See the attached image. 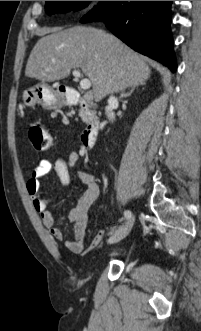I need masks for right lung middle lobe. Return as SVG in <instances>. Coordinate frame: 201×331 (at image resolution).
<instances>
[{"label":"right lung middle lobe","mask_w":201,"mask_h":331,"mask_svg":"<svg viewBox=\"0 0 201 331\" xmlns=\"http://www.w3.org/2000/svg\"><path fill=\"white\" fill-rule=\"evenodd\" d=\"M90 1H46L45 11L47 14L66 12L71 9L80 10L86 7Z\"/></svg>","instance_id":"dd1d6c3e"}]
</instances>
